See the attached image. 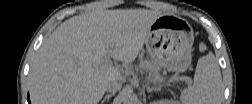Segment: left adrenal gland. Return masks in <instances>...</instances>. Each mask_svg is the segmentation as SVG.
I'll use <instances>...</instances> for the list:
<instances>
[{
  "mask_svg": "<svg viewBox=\"0 0 252 104\" xmlns=\"http://www.w3.org/2000/svg\"><path fill=\"white\" fill-rule=\"evenodd\" d=\"M146 90L148 93L152 92V91H161V85L160 86H153L150 87L149 84L146 85Z\"/></svg>",
  "mask_w": 252,
  "mask_h": 104,
  "instance_id": "left-adrenal-gland-1",
  "label": "left adrenal gland"
}]
</instances>
